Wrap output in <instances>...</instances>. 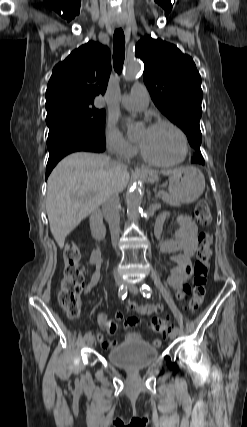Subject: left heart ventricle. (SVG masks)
<instances>
[{
    "instance_id": "left-heart-ventricle-1",
    "label": "left heart ventricle",
    "mask_w": 247,
    "mask_h": 427,
    "mask_svg": "<svg viewBox=\"0 0 247 427\" xmlns=\"http://www.w3.org/2000/svg\"><path fill=\"white\" fill-rule=\"evenodd\" d=\"M146 154L159 161H173L181 154L179 136L169 127L144 128L137 137Z\"/></svg>"
}]
</instances>
